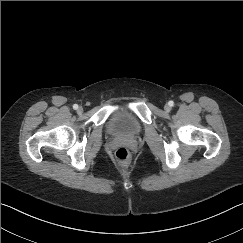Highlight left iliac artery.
I'll return each mask as SVG.
<instances>
[{
  "instance_id": "44dca946",
  "label": "left iliac artery",
  "mask_w": 243,
  "mask_h": 243,
  "mask_svg": "<svg viewBox=\"0 0 243 243\" xmlns=\"http://www.w3.org/2000/svg\"><path fill=\"white\" fill-rule=\"evenodd\" d=\"M168 104H169V106H171V107H172V106L174 105V102H173V101H169V103H168Z\"/></svg>"
}]
</instances>
